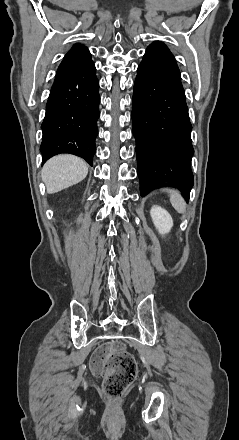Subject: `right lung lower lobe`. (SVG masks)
I'll list each match as a JSON object with an SVG mask.
<instances>
[{
    "label": "right lung lower lobe",
    "mask_w": 239,
    "mask_h": 440,
    "mask_svg": "<svg viewBox=\"0 0 239 440\" xmlns=\"http://www.w3.org/2000/svg\"><path fill=\"white\" fill-rule=\"evenodd\" d=\"M99 103V82L93 62L60 64L41 126L43 163L57 154L69 153L92 166Z\"/></svg>",
    "instance_id": "obj_1"
}]
</instances>
